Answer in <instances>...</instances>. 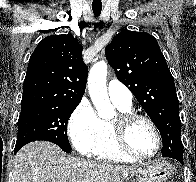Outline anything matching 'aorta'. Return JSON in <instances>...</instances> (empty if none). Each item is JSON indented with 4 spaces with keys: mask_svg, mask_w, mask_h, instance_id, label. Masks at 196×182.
<instances>
[{
    "mask_svg": "<svg viewBox=\"0 0 196 182\" xmlns=\"http://www.w3.org/2000/svg\"><path fill=\"white\" fill-rule=\"evenodd\" d=\"M107 63L104 60L96 62L88 75V90L98 116L102 119H110L115 115L106 86Z\"/></svg>",
    "mask_w": 196,
    "mask_h": 182,
    "instance_id": "762f6f07",
    "label": "aorta"
}]
</instances>
